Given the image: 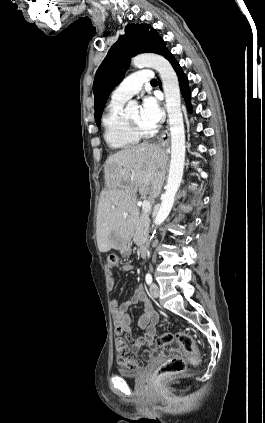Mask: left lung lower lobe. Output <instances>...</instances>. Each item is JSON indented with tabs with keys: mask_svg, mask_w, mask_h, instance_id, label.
<instances>
[{
	"mask_svg": "<svg viewBox=\"0 0 265 423\" xmlns=\"http://www.w3.org/2000/svg\"><path fill=\"white\" fill-rule=\"evenodd\" d=\"M164 57L170 61L173 68L175 69V71L178 75V78H179L181 92H182V94L185 98V101L187 103L188 111H191V105L189 103L190 92H189V87H188V79L185 76V74L183 73V71H182L180 65L178 64V62L173 58L172 54L169 51H167L164 54Z\"/></svg>",
	"mask_w": 265,
	"mask_h": 423,
	"instance_id": "left-lung-lower-lobe-1",
	"label": "left lung lower lobe"
}]
</instances>
